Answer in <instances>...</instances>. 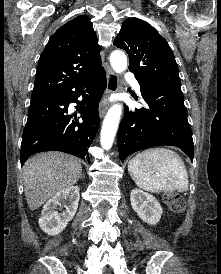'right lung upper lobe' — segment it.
Segmentation results:
<instances>
[{
  "instance_id": "cb5924a9",
  "label": "right lung upper lobe",
  "mask_w": 221,
  "mask_h": 274,
  "mask_svg": "<svg viewBox=\"0 0 221 274\" xmlns=\"http://www.w3.org/2000/svg\"><path fill=\"white\" fill-rule=\"evenodd\" d=\"M90 18L80 15L60 27L42 52L31 99L51 95L100 70V50Z\"/></svg>"
}]
</instances>
